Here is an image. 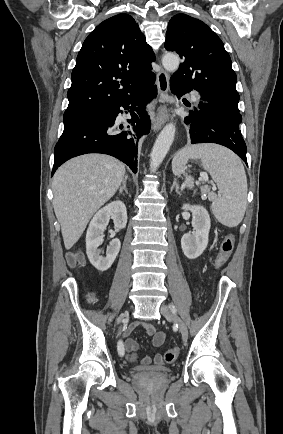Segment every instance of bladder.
Wrapping results in <instances>:
<instances>
[{"label": "bladder", "mask_w": 283, "mask_h": 434, "mask_svg": "<svg viewBox=\"0 0 283 434\" xmlns=\"http://www.w3.org/2000/svg\"><path fill=\"white\" fill-rule=\"evenodd\" d=\"M134 374L138 375H147V376H162L168 373V369L166 368H144V367H134L132 369Z\"/></svg>", "instance_id": "bladder-1"}]
</instances>
